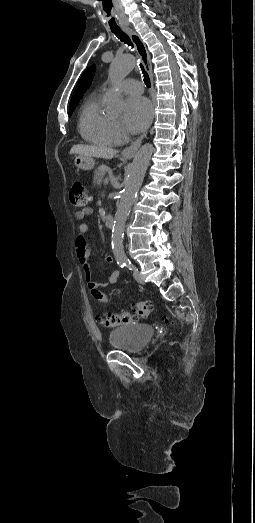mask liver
I'll return each mask as SVG.
<instances>
[{"label":"liver","mask_w":255,"mask_h":523,"mask_svg":"<svg viewBox=\"0 0 255 523\" xmlns=\"http://www.w3.org/2000/svg\"><path fill=\"white\" fill-rule=\"evenodd\" d=\"M70 154H79V156H84V158H105V160H112L116 152L115 150H110V148H97V146H83V144H78V146L71 148Z\"/></svg>","instance_id":"obj_1"}]
</instances>
